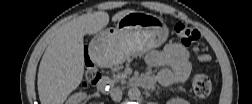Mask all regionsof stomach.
<instances>
[{
  "label": "stomach",
  "mask_w": 252,
  "mask_h": 104,
  "mask_svg": "<svg viewBox=\"0 0 252 104\" xmlns=\"http://www.w3.org/2000/svg\"><path fill=\"white\" fill-rule=\"evenodd\" d=\"M167 37L168 28L162 18L133 11L121 18L115 28L100 32L92 41V52L106 65H117L161 46Z\"/></svg>",
  "instance_id": "stomach-1"
}]
</instances>
